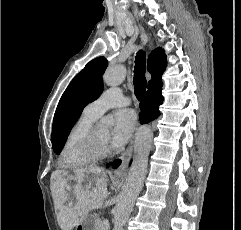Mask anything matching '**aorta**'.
Instances as JSON below:
<instances>
[{"instance_id": "obj_1", "label": "aorta", "mask_w": 241, "mask_h": 230, "mask_svg": "<svg viewBox=\"0 0 241 230\" xmlns=\"http://www.w3.org/2000/svg\"><path fill=\"white\" fill-rule=\"evenodd\" d=\"M126 76L123 65H114L105 71L103 82L110 87L121 84ZM101 124L109 127L113 124L112 119L102 118ZM153 133L150 127L142 126L135 135L133 161L128 176L118 196V201L113 209V230H124L125 223L133 210L144 183L147 173L148 155L151 148Z\"/></svg>"}]
</instances>
